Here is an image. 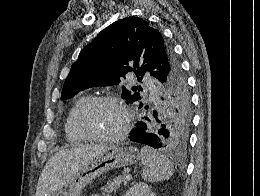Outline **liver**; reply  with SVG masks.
<instances>
[{
	"label": "liver",
	"mask_w": 260,
	"mask_h": 196,
	"mask_svg": "<svg viewBox=\"0 0 260 196\" xmlns=\"http://www.w3.org/2000/svg\"><path fill=\"white\" fill-rule=\"evenodd\" d=\"M105 148L103 144H86V146L56 152L49 158L39 178L36 196L60 192L72 180L79 168L87 166L95 156L102 154Z\"/></svg>",
	"instance_id": "6515ba94"
}]
</instances>
